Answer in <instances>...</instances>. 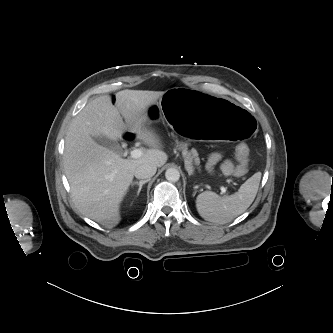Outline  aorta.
<instances>
[{"label":"aorta","mask_w":333,"mask_h":333,"mask_svg":"<svg viewBox=\"0 0 333 333\" xmlns=\"http://www.w3.org/2000/svg\"><path fill=\"white\" fill-rule=\"evenodd\" d=\"M165 177L170 182H176L180 178V173L175 168H168L165 172Z\"/></svg>","instance_id":"obj_1"}]
</instances>
